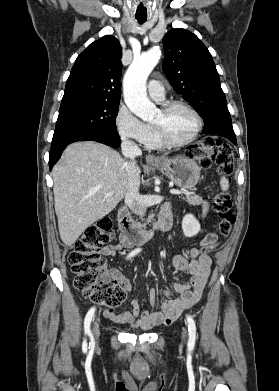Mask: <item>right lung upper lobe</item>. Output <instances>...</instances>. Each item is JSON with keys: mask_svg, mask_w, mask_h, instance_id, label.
Listing matches in <instances>:
<instances>
[{"mask_svg": "<svg viewBox=\"0 0 279 391\" xmlns=\"http://www.w3.org/2000/svg\"><path fill=\"white\" fill-rule=\"evenodd\" d=\"M121 56L120 43L111 35L90 44L72 67L60 109L97 101L120 102Z\"/></svg>", "mask_w": 279, "mask_h": 391, "instance_id": "obj_1", "label": "right lung upper lobe"}]
</instances>
